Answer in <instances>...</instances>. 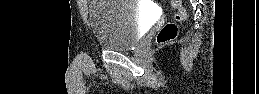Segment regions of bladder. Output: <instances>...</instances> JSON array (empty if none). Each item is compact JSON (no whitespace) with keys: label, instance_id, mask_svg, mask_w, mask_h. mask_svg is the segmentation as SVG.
I'll use <instances>...</instances> for the list:
<instances>
[{"label":"bladder","instance_id":"bladder-1","mask_svg":"<svg viewBox=\"0 0 259 94\" xmlns=\"http://www.w3.org/2000/svg\"><path fill=\"white\" fill-rule=\"evenodd\" d=\"M88 20L99 47L109 51H126L137 46L146 21L135 0L89 1Z\"/></svg>","mask_w":259,"mask_h":94}]
</instances>
